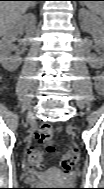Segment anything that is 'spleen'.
I'll return each instance as SVG.
<instances>
[{
	"label": "spleen",
	"mask_w": 104,
	"mask_h": 189,
	"mask_svg": "<svg viewBox=\"0 0 104 189\" xmlns=\"http://www.w3.org/2000/svg\"><path fill=\"white\" fill-rule=\"evenodd\" d=\"M85 5L89 8V10L95 14L103 13V2L102 1H86Z\"/></svg>",
	"instance_id": "obj_1"
}]
</instances>
